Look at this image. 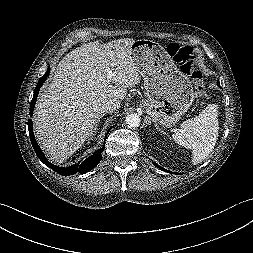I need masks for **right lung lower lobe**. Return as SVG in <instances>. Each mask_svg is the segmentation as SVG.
<instances>
[{
  "label": "right lung lower lobe",
  "instance_id": "1",
  "mask_svg": "<svg viewBox=\"0 0 253 253\" xmlns=\"http://www.w3.org/2000/svg\"><path fill=\"white\" fill-rule=\"evenodd\" d=\"M50 73V68L47 69V72L39 79L35 91H34V95H33V99L31 101V105H30V116H32L33 114V110H34V106L36 103V98L39 92V89L41 88L42 84L45 82L46 78L48 77ZM28 128H29V136H30V140H31V144L33 146V149L35 151V153L37 154L38 158L49 168H51L52 170H54L55 172L63 175V176H70L73 175L75 173H81L84 174L90 170H92L101 160L102 156L101 153L104 150V146L99 149L98 151H96L94 153V155L90 156L89 158H87L85 161H83L81 164H76L70 167H59V166H55L53 164H51L44 156L42 150L40 149V147L38 146L34 134H33V126H32V120L29 119L28 120ZM110 129L108 130L106 136L108 135Z\"/></svg>",
  "mask_w": 253,
  "mask_h": 253
}]
</instances>
